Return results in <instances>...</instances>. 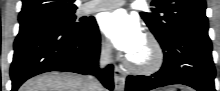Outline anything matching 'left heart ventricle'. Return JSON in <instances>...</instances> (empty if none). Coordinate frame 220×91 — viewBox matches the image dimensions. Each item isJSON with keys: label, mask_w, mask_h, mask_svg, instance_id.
<instances>
[{"label": "left heart ventricle", "mask_w": 220, "mask_h": 91, "mask_svg": "<svg viewBox=\"0 0 220 91\" xmlns=\"http://www.w3.org/2000/svg\"><path fill=\"white\" fill-rule=\"evenodd\" d=\"M149 56H150V48L149 45L144 40L141 46L130 56V59H132L135 63L144 64L148 62Z\"/></svg>", "instance_id": "1"}]
</instances>
